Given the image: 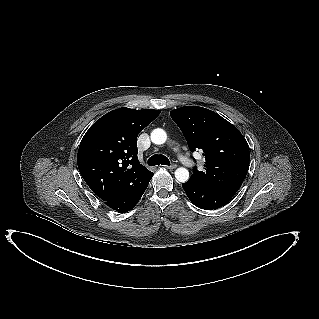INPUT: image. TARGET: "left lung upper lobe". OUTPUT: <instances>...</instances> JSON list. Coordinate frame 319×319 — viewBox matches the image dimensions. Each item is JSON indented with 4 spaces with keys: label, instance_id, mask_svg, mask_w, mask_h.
I'll list each match as a JSON object with an SVG mask.
<instances>
[{
    "label": "left lung upper lobe",
    "instance_id": "1",
    "mask_svg": "<svg viewBox=\"0 0 319 319\" xmlns=\"http://www.w3.org/2000/svg\"><path fill=\"white\" fill-rule=\"evenodd\" d=\"M170 115L183 132L191 151L201 150L205 170L193 169L192 180L233 196L249 168V146L243 135L217 113L186 106Z\"/></svg>",
    "mask_w": 319,
    "mask_h": 319
}]
</instances>
